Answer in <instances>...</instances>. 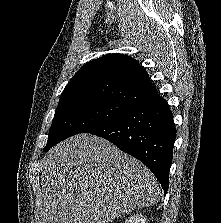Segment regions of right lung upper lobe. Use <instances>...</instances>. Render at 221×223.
<instances>
[{"label":"right lung upper lobe","mask_w":221,"mask_h":223,"mask_svg":"<svg viewBox=\"0 0 221 223\" xmlns=\"http://www.w3.org/2000/svg\"><path fill=\"white\" fill-rule=\"evenodd\" d=\"M84 97L111 99L137 106L159 97V94L138 61L114 53L80 68L63 90L59 102Z\"/></svg>","instance_id":"right-lung-upper-lobe-1"}]
</instances>
